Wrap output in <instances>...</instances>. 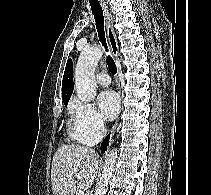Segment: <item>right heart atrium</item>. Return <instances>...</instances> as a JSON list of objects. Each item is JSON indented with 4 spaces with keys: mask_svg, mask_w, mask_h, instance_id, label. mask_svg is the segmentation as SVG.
Masks as SVG:
<instances>
[{
    "mask_svg": "<svg viewBox=\"0 0 211 195\" xmlns=\"http://www.w3.org/2000/svg\"><path fill=\"white\" fill-rule=\"evenodd\" d=\"M70 111L73 117L74 136L86 144L96 143L105 132V123L101 115L92 106L74 101Z\"/></svg>",
    "mask_w": 211,
    "mask_h": 195,
    "instance_id": "d8ad5b80",
    "label": "right heart atrium"
}]
</instances>
